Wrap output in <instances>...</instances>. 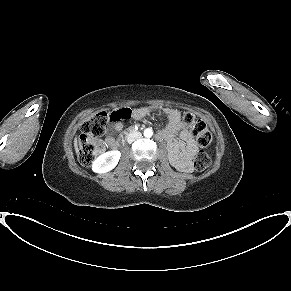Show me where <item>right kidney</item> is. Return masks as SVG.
I'll use <instances>...</instances> for the list:
<instances>
[{"mask_svg":"<svg viewBox=\"0 0 291 291\" xmlns=\"http://www.w3.org/2000/svg\"><path fill=\"white\" fill-rule=\"evenodd\" d=\"M121 153L118 150L109 151L101 154L92 164L95 173H106L111 171L119 162Z\"/></svg>","mask_w":291,"mask_h":291,"instance_id":"ca27d5eb","label":"right kidney"}]
</instances>
